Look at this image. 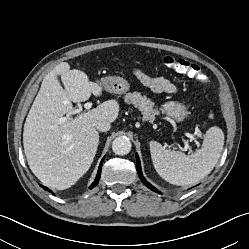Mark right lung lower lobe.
I'll use <instances>...</instances> for the list:
<instances>
[{
  "mask_svg": "<svg viewBox=\"0 0 249 249\" xmlns=\"http://www.w3.org/2000/svg\"><path fill=\"white\" fill-rule=\"evenodd\" d=\"M105 158V157H104ZM104 158L102 159L101 163H100V166H99V169H98V173H97V176L95 178V181L93 182V184L89 187V189H92L93 187H95L97 184H98V181L100 179V175H101V167H102V163H103V160ZM43 189L47 190V191H50L48 188L40 185ZM51 192V191H50Z\"/></svg>",
  "mask_w": 249,
  "mask_h": 249,
  "instance_id": "right-lung-lower-lobe-1",
  "label": "right lung lower lobe"
}]
</instances>
